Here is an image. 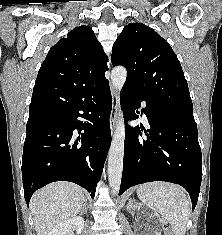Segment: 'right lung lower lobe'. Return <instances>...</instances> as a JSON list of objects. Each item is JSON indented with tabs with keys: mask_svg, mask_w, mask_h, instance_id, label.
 Masks as SVG:
<instances>
[{
	"mask_svg": "<svg viewBox=\"0 0 222 235\" xmlns=\"http://www.w3.org/2000/svg\"><path fill=\"white\" fill-rule=\"evenodd\" d=\"M36 97L50 105L51 120L26 132L22 178L27 205L37 189L61 180L80 185L94 198L111 144L108 80L65 95L44 88Z\"/></svg>",
	"mask_w": 222,
	"mask_h": 235,
	"instance_id": "98d812e1",
	"label": "right lung lower lobe"
}]
</instances>
